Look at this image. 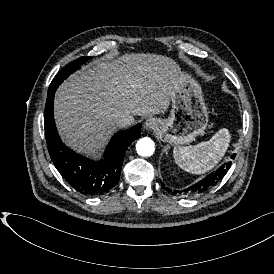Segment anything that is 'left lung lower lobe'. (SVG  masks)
Wrapping results in <instances>:
<instances>
[{
  "label": "left lung lower lobe",
  "instance_id": "obj_1",
  "mask_svg": "<svg viewBox=\"0 0 274 274\" xmlns=\"http://www.w3.org/2000/svg\"><path fill=\"white\" fill-rule=\"evenodd\" d=\"M235 157V154L231 156L233 159ZM231 166V162L222 165L216 172L211 173L203 180L199 181L198 183L194 184L193 186L189 187L187 189V192L190 194H201L209 189H211L219 180H221L225 174L227 173V170H229ZM162 186L164 187V184L161 182ZM167 191H170L169 188L165 187ZM180 192V191H179ZM174 193H177V191H174Z\"/></svg>",
  "mask_w": 274,
  "mask_h": 274
}]
</instances>
